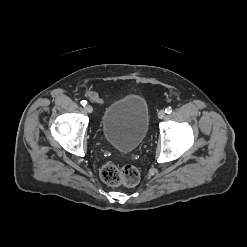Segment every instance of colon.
I'll use <instances>...</instances> for the list:
<instances>
[{
	"label": "colon",
	"instance_id": "colon-1",
	"mask_svg": "<svg viewBox=\"0 0 247 247\" xmlns=\"http://www.w3.org/2000/svg\"><path fill=\"white\" fill-rule=\"evenodd\" d=\"M100 177L109 186L133 187L140 180L139 171L134 166L118 167L113 163H106L101 167Z\"/></svg>",
	"mask_w": 247,
	"mask_h": 247
}]
</instances>
